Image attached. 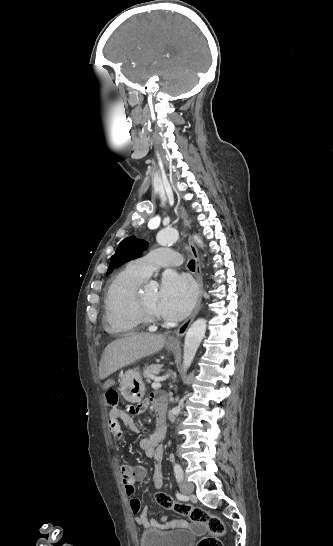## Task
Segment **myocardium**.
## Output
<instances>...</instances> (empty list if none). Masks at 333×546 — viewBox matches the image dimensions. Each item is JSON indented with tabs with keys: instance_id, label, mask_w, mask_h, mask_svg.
<instances>
[{
	"instance_id": "myocardium-1",
	"label": "myocardium",
	"mask_w": 333,
	"mask_h": 546,
	"mask_svg": "<svg viewBox=\"0 0 333 546\" xmlns=\"http://www.w3.org/2000/svg\"><path fill=\"white\" fill-rule=\"evenodd\" d=\"M134 308L137 313V315L140 317L142 322L149 323V324H158L161 319L158 315L154 314L151 310H149L145 304L143 303L141 292L137 291L134 300H133Z\"/></svg>"
}]
</instances>
